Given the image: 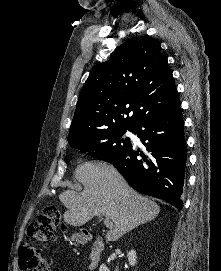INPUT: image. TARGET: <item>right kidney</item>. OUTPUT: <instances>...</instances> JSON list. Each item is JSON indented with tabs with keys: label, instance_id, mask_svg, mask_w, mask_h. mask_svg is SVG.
Returning a JSON list of instances; mask_svg holds the SVG:
<instances>
[{
	"label": "right kidney",
	"instance_id": "1",
	"mask_svg": "<svg viewBox=\"0 0 221 271\" xmlns=\"http://www.w3.org/2000/svg\"><path fill=\"white\" fill-rule=\"evenodd\" d=\"M127 257H128V261L130 265H135L137 261V255H136L135 249H130V251H128L127 253ZM99 271H110V269L109 267H107V265H105V263H101L99 267Z\"/></svg>",
	"mask_w": 221,
	"mask_h": 271
}]
</instances>
